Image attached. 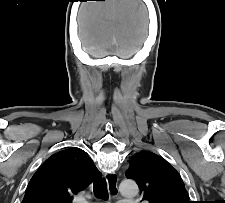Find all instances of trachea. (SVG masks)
<instances>
[{
    "label": "trachea",
    "instance_id": "1",
    "mask_svg": "<svg viewBox=\"0 0 225 203\" xmlns=\"http://www.w3.org/2000/svg\"><path fill=\"white\" fill-rule=\"evenodd\" d=\"M94 195L103 200L108 199L107 183L104 179L97 180L93 184Z\"/></svg>",
    "mask_w": 225,
    "mask_h": 203
}]
</instances>
